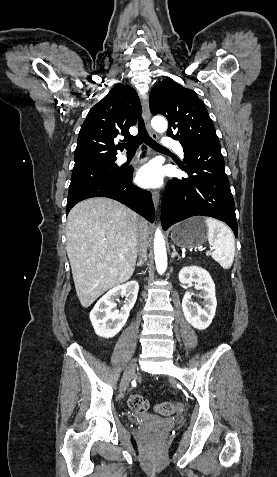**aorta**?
<instances>
[{
    "instance_id": "1",
    "label": "aorta",
    "mask_w": 277,
    "mask_h": 477,
    "mask_svg": "<svg viewBox=\"0 0 277 477\" xmlns=\"http://www.w3.org/2000/svg\"><path fill=\"white\" fill-rule=\"evenodd\" d=\"M152 127L157 132H165L167 130L168 124L167 121L160 116H156L151 121ZM154 256L156 268L159 274H163L167 268V253L165 240L160 229L156 230L154 237Z\"/></svg>"
}]
</instances>
